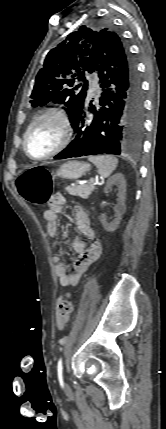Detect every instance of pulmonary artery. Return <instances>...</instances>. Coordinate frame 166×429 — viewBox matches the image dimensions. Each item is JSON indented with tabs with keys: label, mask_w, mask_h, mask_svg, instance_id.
<instances>
[{
	"label": "pulmonary artery",
	"mask_w": 166,
	"mask_h": 429,
	"mask_svg": "<svg viewBox=\"0 0 166 429\" xmlns=\"http://www.w3.org/2000/svg\"><path fill=\"white\" fill-rule=\"evenodd\" d=\"M97 89V79L90 80V90L95 91Z\"/></svg>",
	"instance_id": "obj_1"
}]
</instances>
